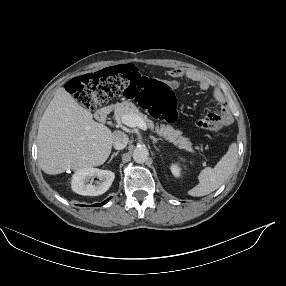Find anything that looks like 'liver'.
Returning a JSON list of instances; mask_svg holds the SVG:
<instances>
[{
  "instance_id": "1",
  "label": "liver",
  "mask_w": 286,
  "mask_h": 286,
  "mask_svg": "<svg viewBox=\"0 0 286 286\" xmlns=\"http://www.w3.org/2000/svg\"><path fill=\"white\" fill-rule=\"evenodd\" d=\"M113 139L114 132L95 122L65 88H58L39 123V165L51 175L102 165Z\"/></svg>"
}]
</instances>
